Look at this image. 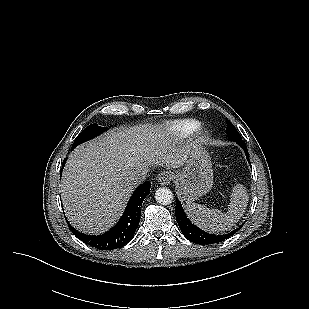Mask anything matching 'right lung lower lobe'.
<instances>
[{
	"label": "right lung lower lobe",
	"mask_w": 309,
	"mask_h": 309,
	"mask_svg": "<svg viewBox=\"0 0 309 309\" xmlns=\"http://www.w3.org/2000/svg\"><path fill=\"white\" fill-rule=\"evenodd\" d=\"M74 149V148H72ZM66 158L63 161V166ZM62 166V167H63ZM61 168V172H62ZM61 175V174H60ZM150 182L140 185L132 194L127 207L119 222L108 232L102 235H86L78 232L68 224L72 233L86 244L101 250H113L127 244L134 236L140 221L141 204L143 199L150 193Z\"/></svg>",
	"instance_id": "obj_1"
}]
</instances>
